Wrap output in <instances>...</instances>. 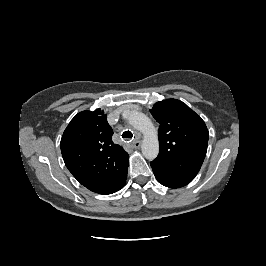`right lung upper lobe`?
Here are the masks:
<instances>
[{
    "mask_svg": "<svg viewBox=\"0 0 266 266\" xmlns=\"http://www.w3.org/2000/svg\"><path fill=\"white\" fill-rule=\"evenodd\" d=\"M113 130L103 111H82L69 123L61 138L66 167L86 188L111 194L125 183L128 153L112 141Z\"/></svg>",
    "mask_w": 266,
    "mask_h": 266,
    "instance_id": "1",
    "label": "right lung upper lobe"
}]
</instances>
